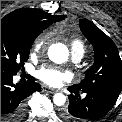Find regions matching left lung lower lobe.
Here are the masks:
<instances>
[{"label":"left lung lower lobe","instance_id":"left-lung-lower-lobe-1","mask_svg":"<svg viewBox=\"0 0 122 122\" xmlns=\"http://www.w3.org/2000/svg\"><path fill=\"white\" fill-rule=\"evenodd\" d=\"M69 106L62 112L67 122H89L104 117L114 106L119 94L108 90H89L84 99L79 98V91L72 87ZM74 93V94H73Z\"/></svg>","mask_w":122,"mask_h":122}]
</instances>
